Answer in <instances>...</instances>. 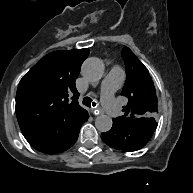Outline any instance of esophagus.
<instances>
[{
  "mask_svg": "<svg viewBox=\"0 0 193 193\" xmlns=\"http://www.w3.org/2000/svg\"><path fill=\"white\" fill-rule=\"evenodd\" d=\"M91 112L96 116L101 113L100 109H92Z\"/></svg>",
  "mask_w": 193,
  "mask_h": 193,
  "instance_id": "esophagus-1",
  "label": "esophagus"
}]
</instances>
